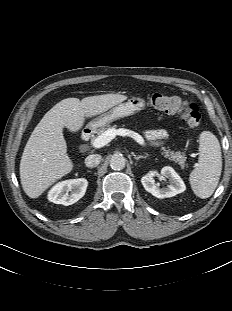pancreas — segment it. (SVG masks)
Wrapping results in <instances>:
<instances>
[{
	"instance_id": "1",
	"label": "pancreas",
	"mask_w": 232,
	"mask_h": 311,
	"mask_svg": "<svg viewBox=\"0 0 232 311\" xmlns=\"http://www.w3.org/2000/svg\"><path fill=\"white\" fill-rule=\"evenodd\" d=\"M112 128H116V125H114V126H106V127H104V128H102L101 130H99L98 132H97V135L98 136H100V135H102L105 131H107L108 129H112ZM97 137H92L91 138V141L93 142L95 139H96ZM161 154L165 157V158H168L169 160H172V161H174V162H176V163H178L179 165H181L182 167L185 165L184 163H185V160H186V158H185V156H184V154L183 153H181V152H174V151H170V150H168V149H166L165 147H162L161 148Z\"/></svg>"
}]
</instances>
